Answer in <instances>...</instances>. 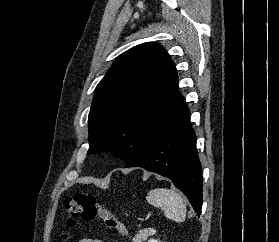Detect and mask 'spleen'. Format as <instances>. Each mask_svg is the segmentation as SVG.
Masks as SVG:
<instances>
[{
  "label": "spleen",
  "mask_w": 279,
  "mask_h": 242,
  "mask_svg": "<svg viewBox=\"0 0 279 242\" xmlns=\"http://www.w3.org/2000/svg\"><path fill=\"white\" fill-rule=\"evenodd\" d=\"M148 203L162 207L164 214L176 222H183L186 218V205L181 195L174 190L165 188L151 189L146 197Z\"/></svg>",
  "instance_id": "spleen-1"
}]
</instances>
